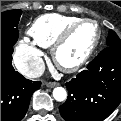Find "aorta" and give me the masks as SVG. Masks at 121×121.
I'll list each match as a JSON object with an SVG mask.
<instances>
[{
  "instance_id": "obj_1",
  "label": "aorta",
  "mask_w": 121,
  "mask_h": 121,
  "mask_svg": "<svg viewBox=\"0 0 121 121\" xmlns=\"http://www.w3.org/2000/svg\"><path fill=\"white\" fill-rule=\"evenodd\" d=\"M53 97L56 101L62 102L67 98V92L63 87H56L53 90Z\"/></svg>"
}]
</instances>
